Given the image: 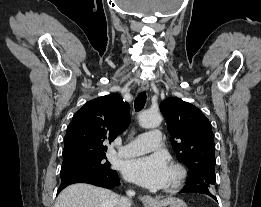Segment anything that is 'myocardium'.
<instances>
[{
	"mask_svg": "<svg viewBox=\"0 0 261 207\" xmlns=\"http://www.w3.org/2000/svg\"><path fill=\"white\" fill-rule=\"evenodd\" d=\"M169 168L174 173V178L169 184L163 187V190L165 192H175L184 185L187 173L185 168L178 163L170 164Z\"/></svg>",
	"mask_w": 261,
	"mask_h": 207,
	"instance_id": "obj_1",
	"label": "myocardium"
}]
</instances>
